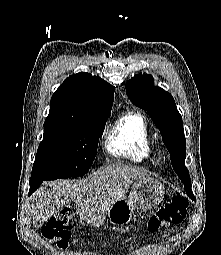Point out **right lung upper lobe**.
I'll use <instances>...</instances> for the list:
<instances>
[{
	"mask_svg": "<svg viewBox=\"0 0 221 255\" xmlns=\"http://www.w3.org/2000/svg\"><path fill=\"white\" fill-rule=\"evenodd\" d=\"M114 88L98 76L80 72L69 76L51 98L47 121L88 124L111 111Z\"/></svg>",
	"mask_w": 221,
	"mask_h": 255,
	"instance_id": "1",
	"label": "right lung upper lobe"
}]
</instances>
